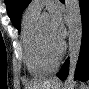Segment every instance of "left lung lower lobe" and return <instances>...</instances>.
Here are the masks:
<instances>
[{"mask_svg": "<svg viewBox=\"0 0 89 89\" xmlns=\"http://www.w3.org/2000/svg\"><path fill=\"white\" fill-rule=\"evenodd\" d=\"M82 18V43L80 56L75 72V80L87 81L89 78V0H79ZM68 59L58 72L57 76L65 80L68 75Z\"/></svg>", "mask_w": 89, "mask_h": 89, "instance_id": "0a47b994", "label": "left lung lower lobe"}]
</instances>
